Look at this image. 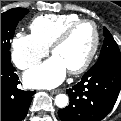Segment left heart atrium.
Segmentation results:
<instances>
[{"instance_id": "1", "label": "left heart atrium", "mask_w": 121, "mask_h": 121, "mask_svg": "<svg viewBox=\"0 0 121 121\" xmlns=\"http://www.w3.org/2000/svg\"><path fill=\"white\" fill-rule=\"evenodd\" d=\"M67 72L61 60L52 56L42 64L27 71L24 80L28 86L33 88H53L64 80Z\"/></svg>"}]
</instances>
